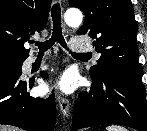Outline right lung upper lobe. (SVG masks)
I'll use <instances>...</instances> for the list:
<instances>
[{"mask_svg":"<svg viewBox=\"0 0 147 131\" xmlns=\"http://www.w3.org/2000/svg\"><path fill=\"white\" fill-rule=\"evenodd\" d=\"M51 0H0V58L26 59L24 43L42 31Z\"/></svg>","mask_w":147,"mask_h":131,"instance_id":"cb5924a9","label":"right lung upper lobe"}]
</instances>
